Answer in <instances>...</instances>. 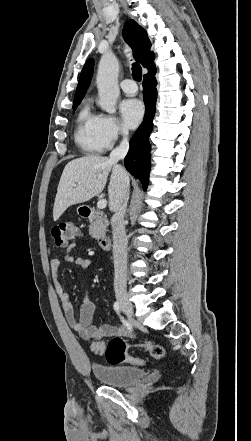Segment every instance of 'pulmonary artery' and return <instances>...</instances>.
Returning a JSON list of instances; mask_svg holds the SVG:
<instances>
[{"label":"pulmonary artery","mask_w":251,"mask_h":441,"mask_svg":"<svg viewBox=\"0 0 251 441\" xmlns=\"http://www.w3.org/2000/svg\"><path fill=\"white\" fill-rule=\"evenodd\" d=\"M121 89L129 94L134 95L137 92V85L132 79H125L120 83Z\"/></svg>","instance_id":"1"}]
</instances>
